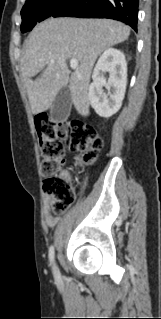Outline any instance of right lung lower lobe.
Instances as JSON below:
<instances>
[{
	"mask_svg": "<svg viewBox=\"0 0 161 319\" xmlns=\"http://www.w3.org/2000/svg\"><path fill=\"white\" fill-rule=\"evenodd\" d=\"M138 3L139 0H83L65 16L115 19L137 31Z\"/></svg>",
	"mask_w": 161,
	"mask_h": 319,
	"instance_id": "right-lung-lower-lobe-1",
	"label": "right lung lower lobe"
}]
</instances>
